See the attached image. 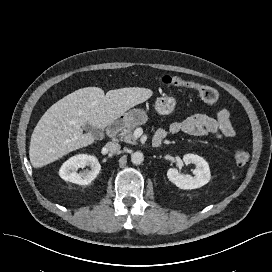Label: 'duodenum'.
<instances>
[{
    "label": "duodenum",
    "mask_w": 272,
    "mask_h": 272,
    "mask_svg": "<svg viewBox=\"0 0 272 272\" xmlns=\"http://www.w3.org/2000/svg\"><path fill=\"white\" fill-rule=\"evenodd\" d=\"M121 128V122L118 120L113 121L109 124L106 130V135L109 139H113ZM163 139L160 137H154L152 145L154 148H160L162 146Z\"/></svg>",
    "instance_id": "obj_1"
}]
</instances>
